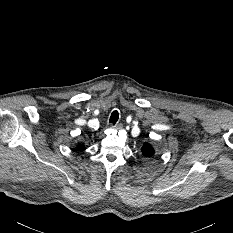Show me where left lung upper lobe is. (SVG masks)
<instances>
[{
    "label": "left lung upper lobe",
    "instance_id": "left-lung-upper-lobe-1",
    "mask_svg": "<svg viewBox=\"0 0 233 233\" xmlns=\"http://www.w3.org/2000/svg\"><path fill=\"white\" fill-rule=\"evenodd\" d=\"M141 151L145 157H152L155 154L153 147L149 143H145Z\"/></svg>",
    "mask_w": 233,
    "mask_h": 233
}]
</instances>
